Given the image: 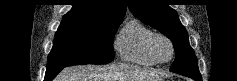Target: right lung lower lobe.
Instances as JSON below:
<instances>
[{
  "mask_svg": "<svg viewBox=\"0 0 237 81\" xmlns=\"http://www.w3.org/2000/svg\"><path fill=\"white\" fill-rule=\"evenodd\" d=\"M62 69L63 68L54 69V70H50V71L46 70L44 81H52Z\"/></svg>",
  "mask_w": 237,
  "mask_h": 81,
  "instance_id": "right-lung-lower-lobe-1",
  "label": "right lung lower lobe"
}]
</instances>
